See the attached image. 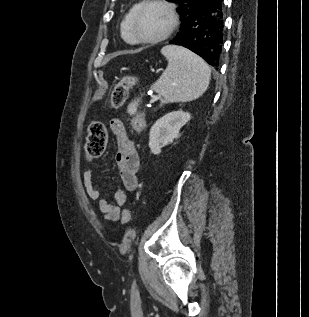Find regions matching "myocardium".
<instances>
[{"instance_id": "1", "label": "myocardium", "mask_w": 309, "mask_h": 317, "mask_svg": "<svg viewBox=\"0 0 309 317\" xmlns=\"http://www.w3.org/2000/svg\"><path fill=\"white\" fill-rule=\"evenodd\" d=\"M161 6L167 10L170 16V24L164 33L154 38H145L138 31L137 23L142 11L149 6ZM179 24V16L173 3L167 0H144L136 8L132 17V32L137 42L145 44H155L166 40L177 28Z\"/></svg>"}]
</instances>
